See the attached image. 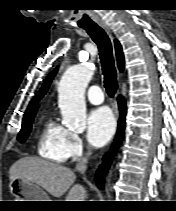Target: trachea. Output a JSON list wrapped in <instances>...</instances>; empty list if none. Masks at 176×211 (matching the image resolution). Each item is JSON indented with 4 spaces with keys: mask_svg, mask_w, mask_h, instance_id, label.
<instances>
[{
    "mask_svg": "<svg viewBox=\"0 0 176 211\" xmlns=\"http://www.w3.org/2000/svg\"><path fill=\"white\" fill-rule=\"evenodd\" d=\"M83 28L98 46L104 75V86L107 94L113 97L117 91L118 83L110 39L106 32L97 24L84 26Z\"/></svg>",
    "mask_w": 176,
    "mask_h": 211,
    "instance_id": "trachea-1",
    "label": "trachea"
}]
</instances>
